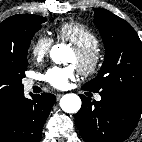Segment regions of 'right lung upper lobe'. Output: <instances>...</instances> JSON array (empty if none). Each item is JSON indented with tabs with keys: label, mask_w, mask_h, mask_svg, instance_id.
<instances>
[{
	"label": "right lung upper lobe",
	"mask_w": 142,
	"mask_h": 142,
	"mask_svg": "<svg viewBox=\"0 0 142 142\" xmlns=\"http://www.w3.org/2000/svg\"><path fill=\"white\" fill-rule=\"evenodd\" d=\"M31 15H14L0 23V58L16 47L18 34ZM24 93L18 88L0 87V125H2L14 103Z\"/></svg>",
	"instance_id": "cb5924a9"
}]
</instances>
